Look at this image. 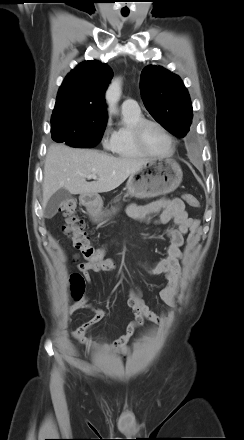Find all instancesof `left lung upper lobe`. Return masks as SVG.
Instances as JSON below:
<instances>
[{
    "mask_svg": "<svg viewBox=\"0 0 244 440\" xmlns=\"http://www.w3.org/2000/svg\"><path fill=\"white\" fill-rule=\"evenodd\" d=\"M140 90L148 112L170 133L184 137L189 132L192 105L179 76L163 67L149 65L142 70Z\"/></svg>",
    "mask_w": 244,
    "mask_h": 440,
    "instance_id": "1",
    "label": "left lung upper lobe"
}]
</instances>
